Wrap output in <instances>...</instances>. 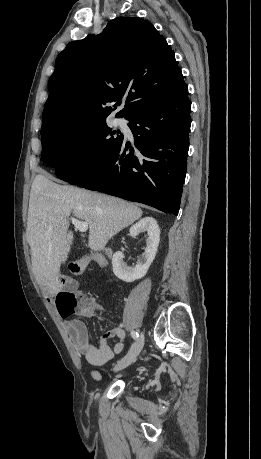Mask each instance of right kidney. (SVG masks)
I'll return each instance as SVG.
<instances>
[{"label": "right kidney", "mask_w": 261, "mask_h": 459, "mask_svg": "<svg viewBox=\"0 0 261 459\" xmlns=\"http://www.w3.org/2000/svg\"><path fill=\"white\" fill-rule=\"evenodd\" d=\"M130 234L137 236L141 232H147V246L144 253L138 260L135 267H127L123 262L124 254L120 251L112 257L114 274L125 282H133L144 277L152 264L160 241V229L156 220L152 217H145L130 228Z\"/></svg>", "instance_id": "right-kidney-1"}]
</instances>
